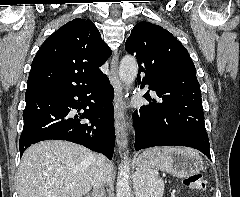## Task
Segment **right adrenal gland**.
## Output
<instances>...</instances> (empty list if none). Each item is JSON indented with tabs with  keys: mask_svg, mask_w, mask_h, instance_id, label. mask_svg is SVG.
I'll return each mask as SVG.
<instances>
[{
	"mask_svg": "<svg viewBox=\"0 0 240 197\" xmlns=\"http://www.w3.org/2000/svg\"><path fill=\"white\" fill-rule=\"evenodd\" d=\"M85 197H104V194H95V193H92V194H87Z\"/></svg>",
	"mask_w": 240,
	"mask_h": 197,
	"instance_id": "2a0ac1e0",
	"label": "right adrenal gland"
}]
</instances>
